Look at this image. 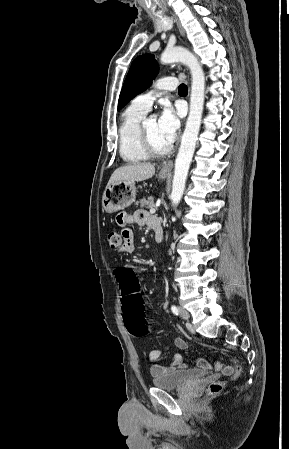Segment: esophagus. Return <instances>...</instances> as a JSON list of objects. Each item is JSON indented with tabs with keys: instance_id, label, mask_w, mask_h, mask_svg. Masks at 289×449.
I'll list each match as a JSON object with an SVG mask.
<instances>
[{
	"instance_id": "esophagus-1",
	"label": "esophagus",
	"mask_w": 289,
	"mask_h": 449,
	"mask_svg": "<svg viewBox=\"0 0 289 449\" xmlns=\"http://www.w3.org/2000/svg\"><path fill=\"white\" fill-rule=\"evenodd\" d=\"M175 21H176V23H177V26H178V29H179L180 34H181L182 36H184V30H183V28L181 27L180 23H179L176 19H175ZM172 168H173V161L170 160V161L164 163V165H163L162 168H161V171H162V172H170V171L172 170Z\"/></svg>"
}]
</instances>
